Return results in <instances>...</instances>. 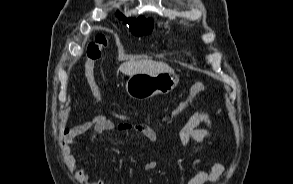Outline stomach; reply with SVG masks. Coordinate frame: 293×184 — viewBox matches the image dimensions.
<instances>
[{
  "label": "stomach",
  "mask_w": 293,
  "mask_h": 184,
  "mask_svg": "<svg viewBox=\"0 0 293 184\" xmlns=\"http://www.w3.org/2000/svg\"><path fill=\"white\" fill-rule=\"evenodd\" d=\"M178 83L179 78L174 72L137 73L129 77L125 89L131 98L144 100L157 94H168Z\"/></svg>",
  "instance_id": "obj_1"
}]
</instances>
